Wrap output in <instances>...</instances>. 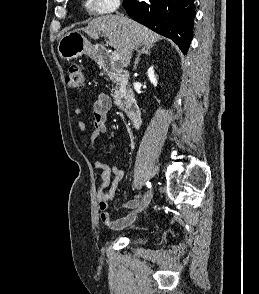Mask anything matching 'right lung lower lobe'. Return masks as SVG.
<instances>
[{
    "instance_id": "right-lung-lower-lobe-1",
    "label": "right lung lower lobe",
    "mask_w": 259,
    "mask_h": 294,
    "mask_svg": "<svg viewBox=\"0 0 259 294\" xmlns=\"http://www.w3.org/2000/svg\"><path fill=\"white\" fill-rule=\"evenodd\" d=\"M123 7L131 18L172 39L187 53L193 34L194 0H124Z\"/></svg>"
}]
</instances>
